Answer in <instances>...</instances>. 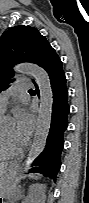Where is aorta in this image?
Listing matches in <instances>:
<instances>
[{
    "label": "aorta",
    "instance_id": "obj_1",
    "mask_svg": "<svg viewBox=\"0 0 89 203\" xmlns=\"http://www.w3.org/2000/svg\"><path fill=\"white\" fill-rule=\"evenodd\" d=\"M17 73L34 78L40 90V105L33 143L23 167V176L31 169L33 161L44 151L51 127L53 91L47 71L33 63H20L14 67Z\"/></svg>",
    "mask_w": 89,
    "mask_h": 203
}]
</instances>
